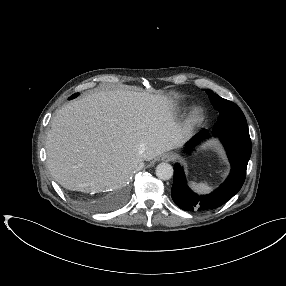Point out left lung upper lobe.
Returning a JSON list of instances; mask_svg holds the SVG:
<instances>
[{"label": "left lung upper lobe", "instance_id": "5c2ea615", "mask_svg": "<svg viewBox=\"0 0 286 286\" xmlns=\"http://www.w3.org/2000/svg\"><path fill=\"white\" fill-rule=\"evenodd\" d=\"M205 92L208 94L214 108L220 113L218 120L228 118L246 120L243 112L235 103L218 96L211 90L205 89Z\"/></svg>", "mask_w": 286, "mask_h": 286}]
</instances>
